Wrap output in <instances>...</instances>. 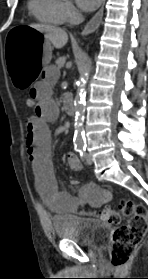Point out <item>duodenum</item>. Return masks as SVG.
Instances as JSON below:
<instances>
[{"instance_id": "obj_1", "label": "duodenum", "mask_w": 148, "mask_h": 279, "mask_svg": "<svg viewBox=\"0 0 148 279\" xmlns=\"http://www.w3.org/2000/svg\"><path fill=\"white\" fill-rule=\"evenodd\" d=\"M63 105L68 114L73 115L75 113L74 101L71 96L67 95L64 97Z\"/></svg>"}]
</instances>
